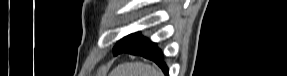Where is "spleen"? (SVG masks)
<instances>
[{
    "instance_id": "1",
    "label": "spleen",
    "mask_w": 287,
    "mask_h": 76,
    "mask_svg": "<svg viewBox=\"0 0 287 76\" xmlns=\"http://www.w3.org/2000/svg\"><path fill=\"white\" fill-rule=\"evenodd\" d=\"M110 76H161V72L142 62H127L115 67Z\"/></svg>"
}]
</instances>
